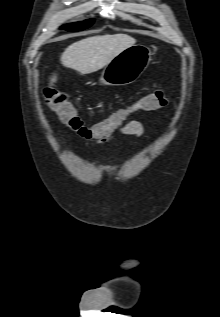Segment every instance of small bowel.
<instances>
[{
    "instance_id": "c3829d8e",
    "label": "small bowel",
    "mask_w": 220,
    "mask_h": 317,
    "mask_svg": "<svg viewBox=\"0 0 220 317\" xmlns=\"http://www.w3.org/2000/svg\"><path fill=\"white\" fill-rule=\"evenodd\" d=\"M119 131L124 135L139 137L143 134L144 127L140 121L132 120L126 122L123 126H121L119 128ZM80 135L87 139L96 140L98 142H108L112 139V136L110 134L104 136L95 135L92 129H88L85 132L80 133Z\"/></svg>"
}]
</instances>
